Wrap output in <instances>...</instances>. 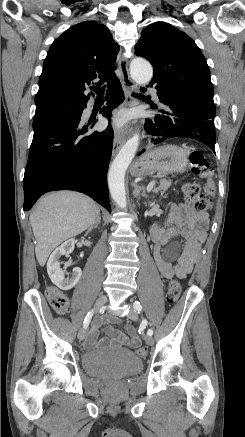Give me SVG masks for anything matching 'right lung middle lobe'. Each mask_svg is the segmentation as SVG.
Instances as JSON below:
<instances>
[{
	"label": "right lung middle lobe",
	"mask_w": 245,
	"mask_h": 437,
	"mask_svg": "<svg viewBox=\"0 0 245 437\" xmlns=\"http://www.w3.org/2000/svg\"><path fill=\"white\" fill-rule=\"evenodd\" d=\"M79 109H80L79 105L59 104V105L49 106L43 109L36 110L34 121H33V128L40 126L43 122H45L47 119L53 116L59 114H66L69 111H75Z\"/></svg>",
	"instance_id": "1"
}]
</instances>
